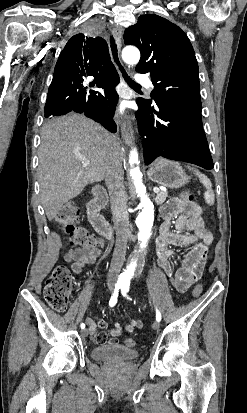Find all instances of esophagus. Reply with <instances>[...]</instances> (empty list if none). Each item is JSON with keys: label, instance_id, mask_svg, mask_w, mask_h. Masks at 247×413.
Segmentation results:
<instances>
[{"label": "esophagus", "instance_id": "1", "mask_svg": "<svg viewBox=\"0 0 247 413\" xmlns=\"http://www.w3.org/2000/svg\"><path fill=\"white\" fill-rule=\"evenodd\" d=\"M113 36L117 44L118 51L121 49L122 27L115 26L113 28ZM134 130L131 123L126 120L121 121V138L126 145H131L134 142Z\"/></svg>", "mask_w": 247, "mask_h": 413}]
</instances>
